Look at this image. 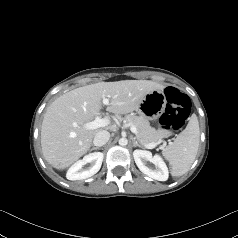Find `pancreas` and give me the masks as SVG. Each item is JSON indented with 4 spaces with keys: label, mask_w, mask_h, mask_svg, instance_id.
Segmentation results:
<instances>
[{
    "label": "pancreas",
    "mask_w": 238,
    "mask_h": 238,
    "mask_svg": "<svg viewBox=\"0 0 238 238\" xmlns=\"http://www.w3.org/2000/svg\"><path fill=\"white\" fill-rule=\"evenodd\" d=\"M131 126H135L137 129L136 137L142 145L149 143H157L162 138L168 137L170 132L166 130H156L150 126L148 119L143 116H136L135 114H129L124 118H121Z\"/></svg>",
    "instance_id": "obj_1"
}]
</instances>
